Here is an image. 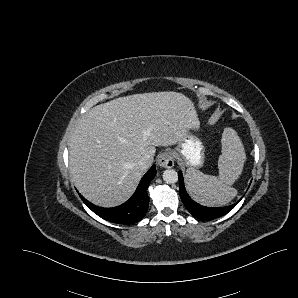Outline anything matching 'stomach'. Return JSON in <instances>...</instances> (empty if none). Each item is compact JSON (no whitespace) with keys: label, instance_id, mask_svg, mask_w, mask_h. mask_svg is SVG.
<instances>
[{"label":"stomach","instance_id":"1","mask_svg":"<svg viewBox=\"0 0 298 298\" xmlns=\"http://www.w3.org/2000/svg\"><path fill=\"white\" fill-rule=\"evenodd\" d=\"M175 160L185 168L201 169L206 162L207 146L194 127L186 129V134L172 149Z\"/></svg>","mask_w":298,"mask_h":298}]
</instances>
